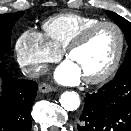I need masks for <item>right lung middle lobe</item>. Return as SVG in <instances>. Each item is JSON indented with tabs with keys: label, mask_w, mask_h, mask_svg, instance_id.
I'll use <instances>...</instances> for the list:
<instances>
[{
	"label": "right lung middle lobe",
	"mask_w": 131,
	"mask_h": 131,
	"mask_svg": "<svg viewBox=\"0 0 131 131\" xmlns=\"http://www.w3.org/2000/svg\"><path fill=\"white\" fill-rule=\"evenodd\" d=\"M23 14L24 12L21 11L0 15V51L10 52L11 29Z\"/></svg>",
	"instance_id": "obj_1"
}]
</instances>
